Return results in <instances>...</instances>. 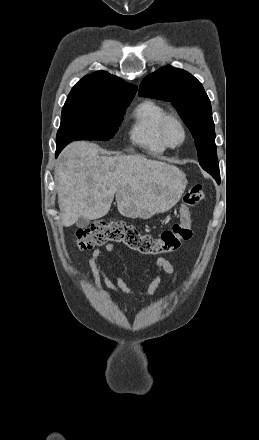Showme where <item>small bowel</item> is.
<instances>
[{
    "label": "small bowel",
    "mask_w": 259,
    "mask_h": 440,
    "mask_svg": "<svg viewBox=\"0 0 259 440\" xmlns=\"http://www.w3.org/2000/svg\"><path fill=\"white\" fill-rule=\"evenodd\" d=\"M114 251V245L109 243L105 246L106 254L110 255ZM101 252L99 249H95L87 265L86 274L87 276H93L95 280V287L97 291L105 296L111 297L114 294H125V295H137L139 297H150L154 295L157 288L161 283L162 273L172 274L174 272V267L172 263L165 258H158L156 260V271L152 281L149 283L147 288L140 292L132 291L124 280L120 276H115L114 281L109 279L101 268L100 262Z\"/></svg>",
    "instance_id": "c3829d8e"
}]
</instances>
